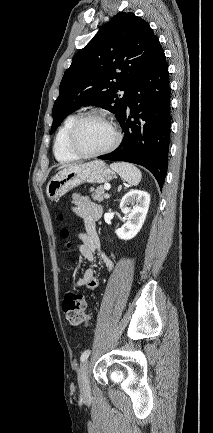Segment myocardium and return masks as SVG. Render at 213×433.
Masks as SVG:
<instances>
[{"instance_id":"obj_1","label":"myocardium","mask_w":213,"mask_h":433,"mask_svg":"<svg viewBox=\"0 0 213 433\" xmlns=\"http://www.w3.org/2000/svg\"><path fill=\"white\" fill-rule=\"evenodd\" d=\"M90 119H98V120L105 122L113 131L114 140L104 150H101L98 152L87 153V152L82 151L79 148V146L77 144V134H78V131H79L80 127L82 126V124L84 122H86L87 120H90ZM121 139H122L121 132L119 131L117 125L113 122L112 119H110L107 115H105L101 112L91 111V112H87V113L79 116L76 119V121L74 122V124L72 125V127L69 131L68 145H69L70 150L79 158H95V157H100V156L109 154L112 151H114L119 146Z\"/></svg>"}]
</instances>
